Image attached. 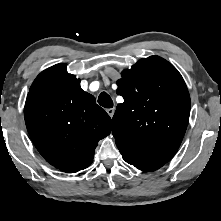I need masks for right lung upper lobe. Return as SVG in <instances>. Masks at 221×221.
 <instances>
[{
	"label": "right lung upper lobe",
	"mask_w": 221,
	"mask_h": 221,
	"mask_svg": "<svg viewBox=\"0 0 221 221\" xmlns=\"http://www.w3.org/2000/svg\"><path fill=\"white\" fill-rule=\"evenodd\" d=\"M65 63L41 72L24 108L29 135L43 158L67 173L87 168L98 141L110 134L111 118L84 92Z\"/></svg>",
	"instance_id": "right-lung-upper-lobe-1"
}]
</instances>
